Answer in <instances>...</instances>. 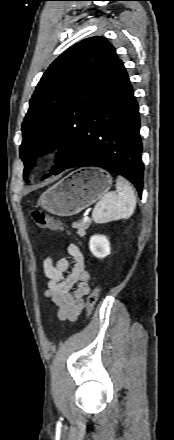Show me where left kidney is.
I'll return each mask as SVG.
<instances>
[{
	"instance_id": "obj_1",
	"label": "left kidney",
	"mask_w": 174,
	"mask_h": 440,
	"mask_svg": "<svg viewBox=\"0 0 174 440\" xmlns=\"http://www.w3.org/2000/svg\"><path fill=\"white\" fill-rule=\"evenodd\" d=\"M89 248L97 258H104L110 254V243L104 235H94L90 238Z\"/></svg>"
}]
</instances>
